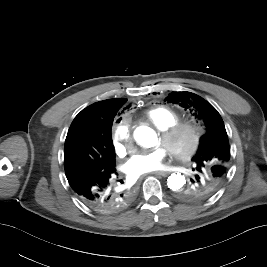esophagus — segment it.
Segmentation results:
<instances>
[{"label":"esophagus","mask_w":267,"mask_h":267,"mask_svg":"<svg viewBox=\"0 0 267 267\" xmlns=\"http://www.w3.org/2000/svg\"><path fill=\"white\" fill-rule=\"evenodd\" d=\"M152 174L160 175V176L166 177L167 175H169V172H167V171H155V172H153Z\"/></svg>","instance_id":"obj_1"}]
</instances>
